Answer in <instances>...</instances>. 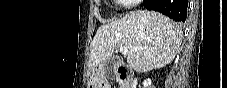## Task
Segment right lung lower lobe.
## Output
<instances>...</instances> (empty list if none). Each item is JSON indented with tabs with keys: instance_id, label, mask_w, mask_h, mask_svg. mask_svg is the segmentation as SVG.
<instances>
[{
	"instance_id": "right-lung-lower-lobe-1",
	"label": "right lung lower lobe",
	"mask_w": 227,
	"mask_h": 88,
	"mask_svg": "<svg viewBox=\"0 0 227 88\" xmlns=\"http://www.w3.org/2000/svg\"><path fill=\"white\" fill-rule=\"evenodd\" d=\"M144 7L158 11L175 21L185 22L188 0H144Z\"/></svg>"
}]
</instances>
